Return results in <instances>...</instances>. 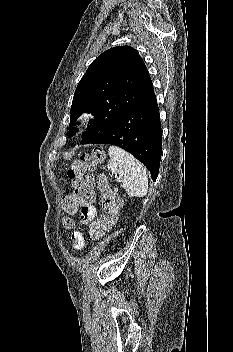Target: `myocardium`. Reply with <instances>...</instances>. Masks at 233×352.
I'll use <instances>...</instances> for the list:
<instances>
[{
    "label": "myocardium",
    "instance_id": "obj_1",
    "mask_svg": "<svg viewBox=\"0 0 233 352\" xmlns=\"http://www.w3.org/2000/svg\"><path fill=\"white\" fill-rule=\"evenodd\" d=\"M93 119V115L91 113L85 112L82 113L78 118L79 125H85L89 123Z\"/></svg>",
    "mask_w": 233,
    "mask_h": 352
}]
</instances>
